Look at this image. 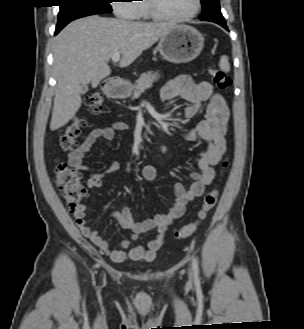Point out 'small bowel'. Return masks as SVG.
Wrapping results in <instances>:
<instances>
[{
    "label": "small bowel",
    "mask_w": 304,
    "mask_h": 329,
    "mask_svg": "<svg viewBox=\"0 0 304 329\" xmlns=\"http://www.w3.org/2000/svg\"><path fill=\"white\" fill-rule=\"evenodd\" d=\"M181 98L190 104L185 108L184 115L187 119L194 118L205 105V119L195 127L184 133V138L189 141L198 139L205 141L208 146L198 154V169L192 172V183L189 188L182 184L175 187L174 202L165 214L158 215L154 219L136 221L133 218L131 208L125 207L121 211H114L112 217L126 229L133 231L131 239H125L118 243L113 249L109 243L99 235L97 230L86 225V210L84 205L73 213L76 225L81 229L82 234L90 240L100 252L108 256L114 262H122L130 259L136 262L150 261L155 258L157 252L165 245L166 235L169 226L182 216L187 203L200 197L207 185L214 178V166H216L226 151L227 123L230 117L228 106L223 97L216 93L213 86L206 81L196 83L190 77L181 75L171 80L163 90V99L168 101ZM129 129V125L122 121H114L106 127L92 130L82 145L69 154V163L79 171H87L88 166L84 158L92 149L94 144L100 140H110L117 131ZM117 162H111L105 172L91 173L87 179V187L90 189L99 188L102 179L107 172L118 169ZM159 173L154 165H145L142 168V176L146 181H153ZM155 231V237L146 245L131 247L132 242L137 240L140 234Z\"/></svg>",
    "instance_id": "c3829d8e"
}]
</instances>
